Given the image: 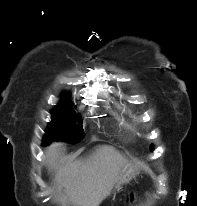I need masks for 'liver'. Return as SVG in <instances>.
<instances>
[{
	"label": "liver",
	"mask_w": 197,
	"mask_h": 206,
	"mask_svg": "<svg viewBox=\"0 0 197 206\" xmlns=\"http://www.w3.org/2000/svg\"><path fill=\"white\" fill-rule=\"evenodd\" d=\"M61 143H52L46 157L52 168H56ZM126 159L112 146H99L84 159L60 166L54 176L57 189L64 187L57 200L66 206H98L117 180L126 165Z\"/></svg>",
	"instance_id": "6515ba94"
}]
</instances>
